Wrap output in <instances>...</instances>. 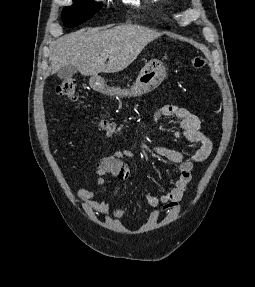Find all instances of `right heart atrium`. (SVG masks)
Wrapping results in <instances>:
<instances>
[{
  "label": "right heart atrium",
  "instance_id": "1",
  "mask_svg": "<svg viewBox=\"0 0 255 287\" xmlns=\"http://www.w3.org/2000/svg\"><path fill=\"white\" fill-rule=\"evenodd\" d=\"M115 48H125V47H115Z\"/></svg>",
  "mask_w": 255,
  "mask_h": 287
}]
</instances>
